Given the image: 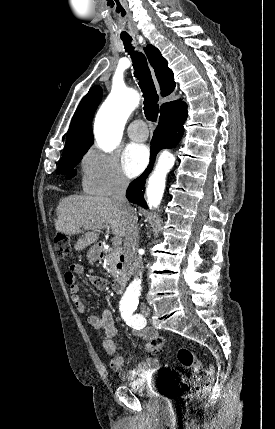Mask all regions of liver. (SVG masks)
Returning <instances> with one entry per match:
<instances>
[{"instance_id":"obj_1","label":"liver","mask_w":275,"mask_h":429,"mask_svg":"<svg viewBox=\"0 0 275 429\" xmlns=\"http://www.w3.org/2000/svg\"><path fill=\"white\" fill-rule=\"evenodd\" d=\"M56 214L57 232L72 235L88 231L74 245L77 251L97 242L100 227L109 226L117 237L125 236L126 218L112 198L70 195L58 204Z\"/></svg>"}]
</instances>
